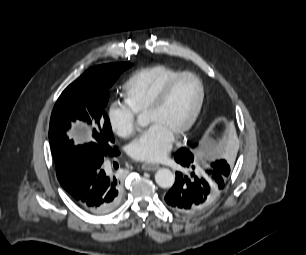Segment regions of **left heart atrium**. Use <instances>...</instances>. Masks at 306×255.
<instances>
[{
	"label": "left heart atrium",
	"mask_w": 306,
	"mask_h": 255,
	"mask_svg": "<svg viewBox=\"0 0 306 255\" xmlns=\"http://www.w3.org/2000/svg\"><path fill=\"white\" fill-rule=\"evenodd\" d=\"M174 135L158 123L151 126L128 146V154L135 160L157 162L172 148Z\"/></svg>",
	"instance_id": "left-heart-atrium-1"
}]
</instances>
